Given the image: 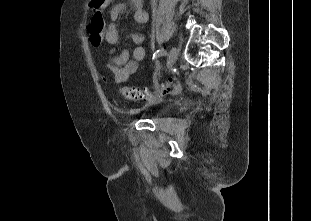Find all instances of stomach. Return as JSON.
I'll return each instance as SVG.
<instances>
[{"instance_id":"1","label":"stomach","mask_w":311,"mask_h":221,"mask_svg":"<svg viewBox=\"0 0 311 221\" xmlns=\"http://www.w3.org/2000/svg\"><path fill=\"white\" fill-rule=\"evenodd\" d=\"M110 0H95V8H106Z\"/></svg>"}]
</instances>
